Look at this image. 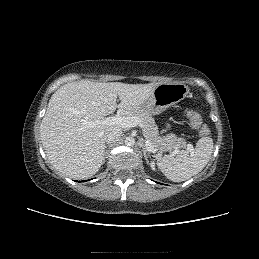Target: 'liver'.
<instances>
[{
	"label": "liver",
	"mask_w": 259,
	"mask_h": 259,
	"mask_svg": "<svg viewBox=\"0 0 259 259\" xmlns=\"http://www.w3.org/2000/svg\"><path fill=\"white\" fill-rule=\"evenodd\" d=\"M158 85L83 79L61 86L51 96L40 126L43 148L50 163L75 179L96 174L104 160V134L114 126L100 124L87 128L83 120L104 117L116 108L138 109ZM117 97L120 99L118 105Z\"/></svg>",
	"instance_id": "1"
}]
</instances>
